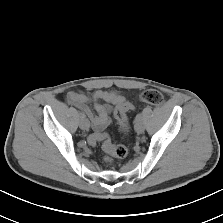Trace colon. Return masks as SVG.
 I'll return each mask as SVG.
<instances>
[{"label":"colon","instance_id":"colon-1","mask_svg":"<svg viewBox=\"0 0 223 223\" xmlns=\"http://www.w3.org/2000/svg\"><path fill=\"white\" fill-rule=\"evenodd\" d=\"M139 98L142 102L152 106H161L163 104V96L156 90H144L140 93ZM132 107V104L124 102L115 111L117 122L124 133L129 131V121L126 112L132 109ZM89 140L94 145L100 143L103 150L113 157L124 158L128 154L127 146L114 145L105 133H94Z\"/></svg>","mask_w":223,"mask_h":223}]
</instances>
